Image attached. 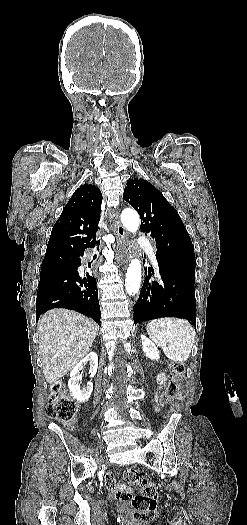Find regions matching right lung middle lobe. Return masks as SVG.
Masks as SVG:
<instances>
[{
  "instance_id": "dd1d6c3e",
  "label": "right lung middle lobe",
  "mask_w": 247,
  "mask_h": 525,
  "mask_svg": "<svg viewBox=\"0 0 247 525\" xmlns=\"http://www.w3.org/2000/svg\"><path fill=\"white\" fill-rule=\"evenodd\" d=\"M71 257H55L49 261V263L41 268V274L65 267L70 264Z\"/></svg>"
}]
</instances>
